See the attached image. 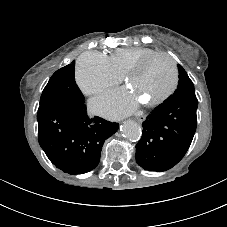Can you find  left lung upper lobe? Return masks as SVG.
<instances>
[{"mask_svg":"<svg viewBox=\"0 0 227 227\" xmlns=\"http://www.w3.org/2000/svg\"><path fill=\"white\" fill-rule=\"evenodd\" d=\"M170 97H195L192 81L182 66L179 65V84L174 94Z\"/></svg>","mask_w":227,"mask_h":227,"instance_id":"obj_1","label":"left lung upper lobe"}]
</instances>
